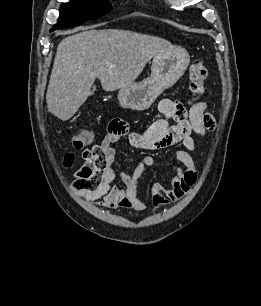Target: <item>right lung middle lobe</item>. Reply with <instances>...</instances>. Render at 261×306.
I'll list each match as a JSON object with an SVG mask.
<instances>
[{"label":"right lung middle lobe","mask_w":261,"mask_h":306,"mask_svg":"<svg viewBox=\"0 0 261 306\" xmlns=\"http://www.w3.org/2000/svg\"><path fill=\"white\" fill-rule=\"evenodd\" d=\"M110 0H71L61 5L59 18L53 29L76 26L88 19H95L112 10Z\"/></svg>","instance_id":"1"}]
</instances>
